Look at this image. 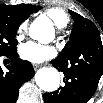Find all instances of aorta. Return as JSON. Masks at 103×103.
<instances>
[{
  "instance_id": "aorta-1",
  "label": "aorta",
  "mask_w": 103,
  "mask_h": 103,
  "mask_svg": "<svg viewBox=\"0 0 103 103\" xmlns=\"http://www.w3.org/2000/svg\"><path fill=\"white\" fill-rule=\"evenodd\" d=\"M46 24L48 25L49 22L47 21ZM32 27L37 28L39 32H42L43 24L41 19H36L32 24ZM35 82L40 89L46 92H53L59 87V72L53 67L39 69L35 74Z\"/></svg>"
}]
</instances>
